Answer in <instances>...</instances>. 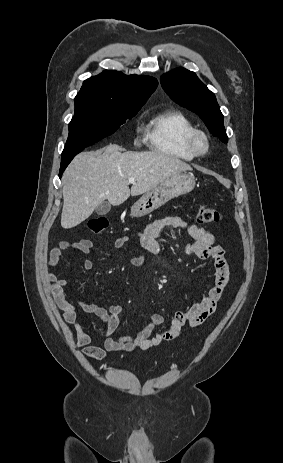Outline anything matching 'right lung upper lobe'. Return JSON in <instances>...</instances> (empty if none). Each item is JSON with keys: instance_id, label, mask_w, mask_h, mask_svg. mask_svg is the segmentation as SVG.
<instances>
[{"instance_id": "right-lung-upper-lobe-1", "label": "right lung upper lobe", "mask_w": 283, "mask_h": 463, "mask_svg": "<svg viewBox=\"0 0 283 463\" xmlns=\"http://www.w3.org/2000/svg\"><path fill=\"white\" fill-rule=\"evenodd\" d=\"M157 85L158 81L153 77L127 76L119 71L105 70L85 80L77 96L145 104Z\"/></svg>"}]
</instances>
